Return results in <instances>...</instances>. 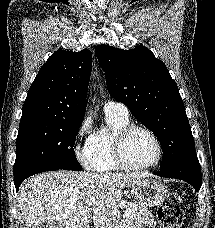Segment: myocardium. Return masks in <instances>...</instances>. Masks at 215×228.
Segmentation results:
<instances>
[{
  "label": "myocardium",
  "mask_w": 215,
  "mask_h": 228,
  "mask_svg": "<svg viewBox=\"0 0 215 228\" xmlns=\"http://www.w3.org/2000/svg\"><path fill=\"white\" fill-rule=\"evenodd\" d=\"M134 130H142V131L146 132L151 137L152 141L155 144V148H156L155 158L152 161H150L146 164H143V165H139V166L131 165L127 161V159L124 155V144H125L127 138L129 137V135ZM162 153H163L162 144H161L158 136L151 128H149L148 126L143 125V124L129 123L128 125L124 126L116 133L114 140H113V154H114L115 161H116L117 165L124 170L141 171V170L151 168L160 162V160L162 158Z\"/></svg>",
  "instance_id": "obj_1"
}]
</instances>
